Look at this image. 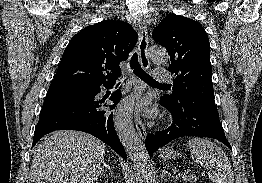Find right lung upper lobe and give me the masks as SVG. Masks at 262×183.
Wrapping results in <instances>:
<instances>
[{
    "mask_svg": "<svg viewBox=\"0 0 262 183\" xmlns=\"http://www.w3.org/2000/svg\"><path fill=\"white\" fill-rule=\"evenodd\" d=\"M138 35L126 22L104 20L76 34L66 47L49 89L113 82L121 75Z\"/></svg>",
    "mask_w": 262,
    "mask_h": 183,
    "instance_id": "cb5924a9",
    "label": "right lung upper lobe"
}]
</instances>
